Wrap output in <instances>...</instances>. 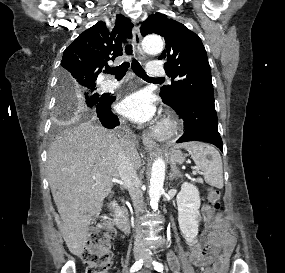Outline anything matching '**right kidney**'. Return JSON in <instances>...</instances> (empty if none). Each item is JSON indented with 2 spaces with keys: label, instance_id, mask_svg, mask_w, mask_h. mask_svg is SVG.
I'll return each instance as SVG.
<instances>
[{
  "label": "right kidney",
  "instance_id": "1",
  "mask_svg": "<svg viewBox=\"0 0 285 273\" xmlns=\"http://www.w3.org/2000/svg\"><path fill=\"white\" fill-rule=\"evenodd\" d=\"M115 206H116L115 201L110 203V207H115ZM123 215H124V211H117V214H116L117 217H123Z\"/></svg>",
  "mask_w": 285,
  "mask_h": 273
}]
</instances>
